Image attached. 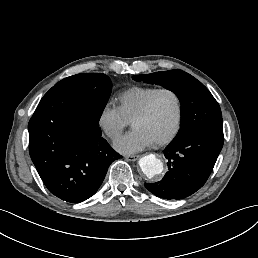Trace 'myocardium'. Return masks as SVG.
<instances>
[{"label": "myocardium", "mask_w": 258, "mask_h": 258, "mask_svg": "<svg viewBox=\"0 0 258 258\" xmlns=\"http://www.w3.org/2000/svg\"><path fill=\"white\" fill-rule=\"evenodd\" d=\"M165 93H170L175 97L176 100V112L174 116V120L172 123V126L170 130L165 135H158L154 132V130L151 128V122L153 119V113L154 108L157 100L159 97ZM182 115V101L178 93L175 91L165 88V89H159L157 92L153 95V97L150 99L147 108L143 115L139 118L137 125L142 133L153 139L157 142H167L171 140L176 132L178 131L180 120Z\"/></svg>", "instance_id": "1"}]
</instances>
